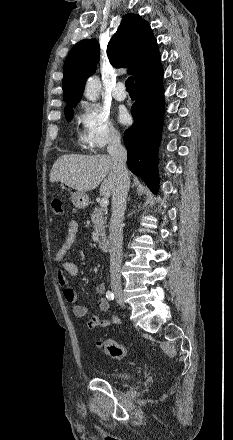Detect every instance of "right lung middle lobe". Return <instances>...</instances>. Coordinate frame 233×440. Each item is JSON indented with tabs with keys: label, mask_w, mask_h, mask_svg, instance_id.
<instances>
[{
	"label": "right lung middle lobe",
	"mask_w": 233,
	"mask_h": 440,
	"mask_svg": "<svg viewBox=\"0 0 233 440\" xmlns=\"http://www.w3.org/2000/svg\"><path fill=\"white\" fill-rule=\"evenodd\" d=\"M76 105H72L64 109L65 117L67 121H70L73 118V107Z\"/></svg>",
	"instance_id": "obj_1"
}]
</instances>
